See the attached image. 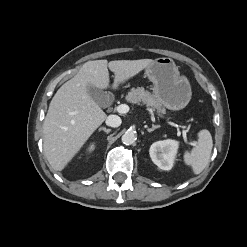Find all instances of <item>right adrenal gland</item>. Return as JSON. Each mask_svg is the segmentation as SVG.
Returning a JSON list of instances; mask_svg holds the SVG:
<instances>
[{
	"instance_id": "1",
	"label": "right adrenal gland",
	"mask_w": 247,
	"mask_h": 247,
	"mask_svg": "<svg viewBox=\"0 0 247 247\" xmlns=\"http://www.w3.org/2000/svg\"><path fill=\"white\" fill-rule=\"evenodd\" d=\"M100 131H104L106 134H108L111 132V129H106L105 127H101V128H99V132Z\"/></svg>"
}]
</instances>
